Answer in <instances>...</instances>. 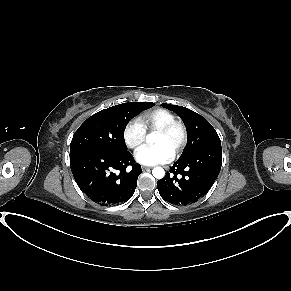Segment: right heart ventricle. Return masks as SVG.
I'll return each mask as SVG.
<instances>
[{
    "instance_id": "e07e8e85",
    "label": "right heart ventricle",
    "mask_w": 291,
    "mask_h": 291,
    "mask_svg": "<svg viewBox=\"0 0 291 291\" xmlns=\"http://www.w3.org/2000/svg\"><path fill=\"white\" fill-rule=\"evenodd\" d=\"M137 120L146 131H156L164 125L176 120V117L167 109L157 108L141 113Z\"/></svg>"
}]
</instances>
